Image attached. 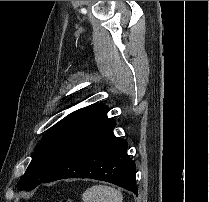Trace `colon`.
<instances>
[{
  "instance_id": "1",
  "label": "colon",
  "mask_w": 209,
  "mask_h": 202,
  "mask_svg": "<svg viewBox=\"0 0 209 202\" xmlns=\"http://www.w3.org/2000/svg\"><path fill=\"white\" fill-rule=\"evenodd\" d=\"M54 202H74V201L69 200V199H58V200H56Z\"/></svg>"
}]
</instances>
